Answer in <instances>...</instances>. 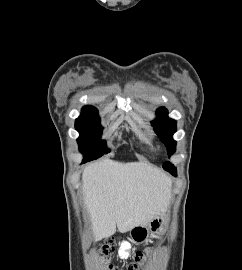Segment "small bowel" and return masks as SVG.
<instances>
[{
	"instance_id": "small-bowel-1",
	"label": "small bowel",
	"mask_w": 242,
	"mask_h": 270,
	"mask_svg": "<svg viewBox=\"0 0 242 270\" xmlns=\"http://www.w3.org/2000/svg\"><path fill=\"white\" fill-rule=\"evenodd\" d=\"M126 246L127 244L126 243H122L120 248H119V256L121 258H125L126 257Z\"/></svg>"
}]
</instances>
